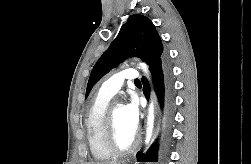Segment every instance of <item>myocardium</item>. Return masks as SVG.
<instances>
[{"mask_svg": "<svg viewBox=\"0 0 251 164\" xmlns=\"http://www.w3.org/2000/svg\"><path fill=\"white\" fill-rule=\"evenodd\" d=\"M117 105L118 104H113L108 108L106 115L105 138L109 149L114 154L124 155L133 152L138 147L140 142V136L139 133L136 132L132 143L127 147H123L118 143L114 116V110Z\"/></svg>", "mask_w": 251, "mask_h": 164, "instance_id": "myocardium-1", "label": "myocardium"}]
</instances>
